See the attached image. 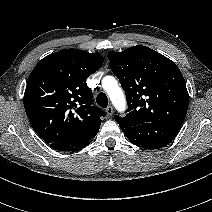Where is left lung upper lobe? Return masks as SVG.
Here are the masks:
<instances>
[{"mask_svg": "<svg viewBox=\"0 0 212 212\" xmlns=\"http://www.w3.org/2000/svg\"><path fill=\"white\" fill-rule=\"evenodd\" d=\"M110 68L125 91L129 112L115 115L121 129L142 122L182 125L189 103L183 75L167 57L145 46L108 53Z\"/></svg>", "mask_w": 212, "mask_h": 212, "instance_id": "left-lung-upper-lobe-1", "label": "left lung upper lobe"}]
</instances>
